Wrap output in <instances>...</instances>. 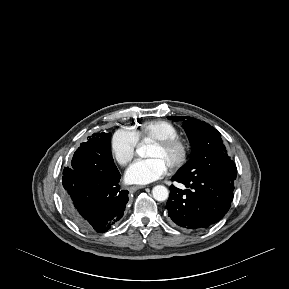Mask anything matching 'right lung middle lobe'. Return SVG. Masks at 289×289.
<instances>
[{"label":"right lung middle lobe","instance_id":"dd1d6c3e","mask_svg":"<svg viewBox=\"0 0 289 289\" xmlns=\"http://www.w3.org/2000/svg\"><path fill=\"white\" fill-rule=\"evenodd\" d=\"M111 133H94L87 142L81 143L74 153L71 167L76 169L81 160H89L102 169L115 167L110 150ZM69 168V167H68Z\"/></svg>","mask_w":289,"mask_h":289}]
</instances>
